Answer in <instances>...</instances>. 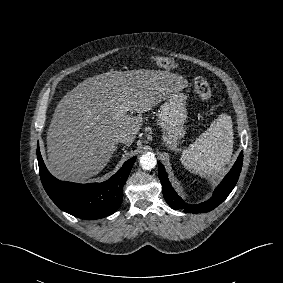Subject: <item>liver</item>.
I'll list each match as a JSON object with an SVG mask.
<instances>
[{"label": "liver", "instance_id": "1", "mask_svg": "<svg viewBox=\"0 0 283 283\" xmlns=\"http://www.w3.org/2000/svg\"><path fill=\"white\" fill-rule=\"evenodd\" d=\"M187 84L180 75L145 69L87 78L55 109L47 133L48 170L64 181L95 176L113 156L116 136L125 135L130 146L143 124L141 115ZM121 106L131 115L120 116Z\"/></svg>", "mask_w": 283, "mask_h": 283}]
</instances>
